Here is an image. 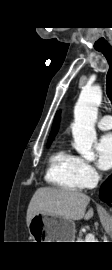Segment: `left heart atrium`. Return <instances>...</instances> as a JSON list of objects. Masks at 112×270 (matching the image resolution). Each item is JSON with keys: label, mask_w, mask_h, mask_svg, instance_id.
Masks as SVG:
<instances>
[{"label": "left heart atrium", "mask_w": 112, "mask_h": 270, "mask_svg": "<svg viewBox=\"0 0 112 270\" xmlns=\"http://www.w3.org/2000/svg\"><path fill=\"white\" fill-rule=\"evenodd\" d=\"M98 166L102 170L112 168V133L104 135L96 145Z\"/></svg>", "instance_id": "39dd6f15"}]
</instances>
